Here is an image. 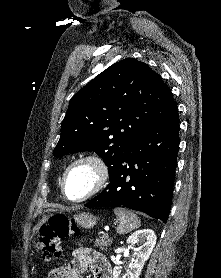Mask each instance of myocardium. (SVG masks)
Returning <instances> with one entry per match:
<instances>
[{
	"mask_svg": "<svg viewBox=\"0 0 221 278\" xmlns=\"http://www.w3.org/2000/svg\"><path fill=\"white\" fill-rule=\"evenodd\" d=\"M81 164H88L94 168L95 174H96L95 181H94L91 189L85 195H83L82 197H79V198H75V199L70 198L67 195L66 189H65L67 176L74 167L81 165ZM109 176H110L109 167L102 158H100L97 155H93V154H86V155L79 156L67 165V167L65 168V170L62 174V178H61L62 194L70 202H74V203L84 202V201L90 199L91 197H93L94 195H96L98 192H100L105 187V185L107 184V182L109 180Z\"/></svg>",
	"mask_w": 221,
	"mask_h": 278,
	"instance_id": "myocardium-1",
	"label": "myocardium"
}]
</instances>
